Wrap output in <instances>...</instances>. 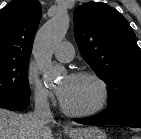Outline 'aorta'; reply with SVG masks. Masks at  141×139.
<instances>
[{
  "label": "aorta",
  "mask_w": 141,
  "mask_h": 139,
  "mask_svg": "<svg viewBox=\"0 0 141 139\" xmlns=\"http://www.w3.org/2000/svg\"><path fill=\"white\" fill-rule=\"evenodd\" d=\"M70 18L67 13H58L39 30L34 43V58L43 73L44 83L55 80L60 72L52 66V54L65 38Z\"/></svg>",
  "instance_id": "obj_1"
}]
</instances>
